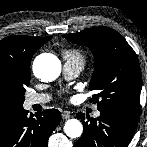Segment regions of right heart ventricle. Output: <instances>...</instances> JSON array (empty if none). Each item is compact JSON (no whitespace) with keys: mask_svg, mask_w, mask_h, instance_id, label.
<instances>
[{"mask_svg":"<svg viewBox=\"0 0 147 147\" xmlns=\"http://www.w3.org/2000/svg\"><path fill=\"white\" fill-rule=\"evenodd\" d=\"M63 56L65 60L79 61L83 63L84 56L81 51L76 49H70L63 51Z\"/></svg>","mask_w":147,"mask_h":147,"instance_id":"e07e8e85","label":"right heart ventricle"}]
</instances>
